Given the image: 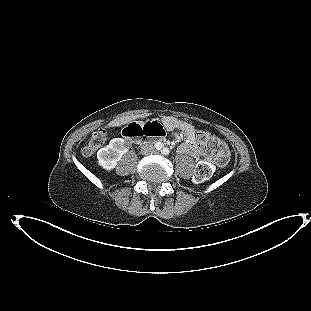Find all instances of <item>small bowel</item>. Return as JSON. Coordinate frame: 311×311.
<instances>
[{"label":"small bowel","mask_w":311,"mask_h":311,"mask_svg":"<svg viewBox=\"0 0 311 311\" xmlns=\"http://www.w3.org/2000/svg\"><path fill=\"white\" fill-rule=\"evenodd\" d=\"M162 124L167 130L178 129L184 133L185 141L179 146L178 149L181 154L190 155L195 158L200 156V150L195 141V130L189 122L168 116L162 119Z\"/></svg>","instance_id":"c3829d8e"}]
</instances>
